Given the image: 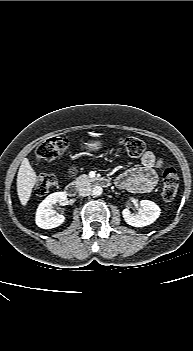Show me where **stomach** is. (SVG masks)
Listing matches in <instances>:
<instances>
[{
	"mask_svg": "<svg viewBox=\"0 0 193 351\" xmlns=\"http://www.w3.org/2000/svg\"><path fill=\"white\" fill-rule=\"evenodd\" d=\"M103 147V143L100 141H89L85 143L83 146V149H85L88 152H96L100 150Z\"/></svg>",
	"mask_w": 193,
	"mask_h": 351,
	"instance_id": "0dacf381",
	"label": "stomach"
}]
</instances>
